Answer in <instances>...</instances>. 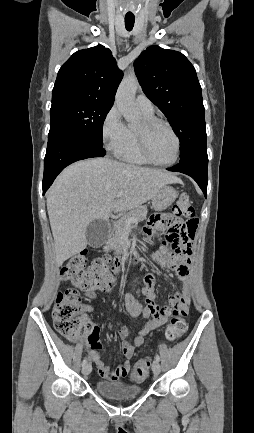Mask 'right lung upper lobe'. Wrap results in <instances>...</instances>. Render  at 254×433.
Segmentation results:
<instances>
[{
    "label": "right lung upper lobe",
    "instance_id": "1",
    "mask_svg": "<svg viewBox=\"0 0 254 433\" xmlns=\"http://www.w3.org/2000/svg\"><path fill=\"white\" fill-rule=\"evenodd\" d=\"M123 73L109 49L102 45L75 52L60 68L52 91V105L69 100L113 105Z\"/></svg>",
    "mask_w": 254,
    "mask_h": 433
}]
</instances>
